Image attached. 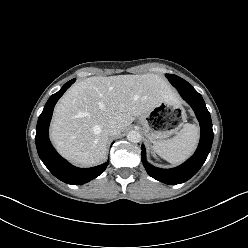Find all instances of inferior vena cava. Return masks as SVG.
<instances>
[{"instance_id":"1","label":"inferior vena cava","mask_w":248,"mask_h":248,"mask_svg":"<svg viewBox=\"0 0 248 248\" xmlns=\"http://www.w3.org/2000/svg\"><path fill=\"white\" fill-rule=\"evenodd\" d=\"M105 132L109 136L117 135L121 132L120 126L117 124L115 121H110L106 126H105Z\"/></svg>"}]
</instances>
